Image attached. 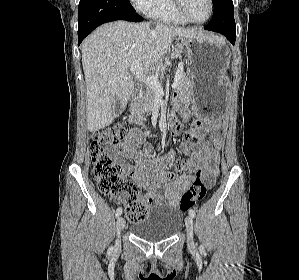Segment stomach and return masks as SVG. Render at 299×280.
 Wrapping results in <instances>:
<instances>
[{
    "label": "stomach",
    "instance_id": "stomach-1",
    "mask_svg": "<svg viewBox=\"0 0 299 280\" xmlns=\"http://www.w3.org/2000/svg\"><path fill=\"white\" fill-rule=\"evenodd\" d=\"M188 53V78L192 110L196 116H222L226 111L225 72L231 52L217 36L182 39Z\"/></svg>",
    "mask_w": 299,
    "mask_h": 280
}]
</instances>
